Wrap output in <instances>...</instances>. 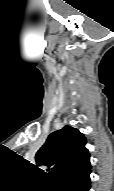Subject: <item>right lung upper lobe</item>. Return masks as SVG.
Listing matches in <instances>:
<instances>
[{"mask_svg":"<svg viewBox=\"0 0 114 191\" xmlns=\"http://www.w3.org/2000/svg\"><path fill=\"white\" fill-rule=\"evenodd\" d=\"M87 141L76 128L64 126L51 133L36 153V165L51 167L57 184L73 175L91 169Z\"/></svg>","mask_w":114,"mask_h":191,"instance_id":"right-lung-upper-lobe-1","label":"right lung upper lobe"}]
</instances>
